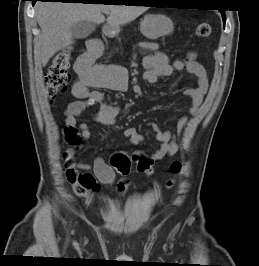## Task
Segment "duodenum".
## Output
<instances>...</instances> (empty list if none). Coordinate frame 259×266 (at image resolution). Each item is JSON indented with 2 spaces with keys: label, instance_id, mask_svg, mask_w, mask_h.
Returning a JSON list of instances; mask_svg holds the SVG:
<instances>
[{
  "label": "duodenum",
  "instance_id": "duodenum-1",
  "mask_svg": "<svg viewBox=\"0 0 259 266\" xmlns=\"http://www.w3.org/2000/svg\"><path fill=\"white\" fill-rule=\"evenodd\" d=\"M92 50L94 51V52H99V50H100V47H99V45H94V46H92Z\"/></svg>",
  "mask_w": 259,
  "mask_h": 266
}]
</instances>
